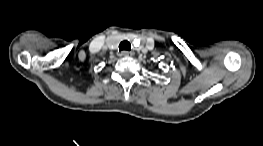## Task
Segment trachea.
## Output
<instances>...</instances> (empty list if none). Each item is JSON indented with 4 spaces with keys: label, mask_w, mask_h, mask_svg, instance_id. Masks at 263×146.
<instances>
[{
    "label": "trachea",
    "mask_w": 263,
    "mask_h": 146,
    "mask_svg": "<svg viewBox=\"0 0 263 146\" xmlns=\"http://www.w3.org/2000/svg\"><path fill=\"white\" fill-rule=\"evenodd\" d=\"M119 50L120 51H122V50L130 51L131 50V44L127 40H124L120 43Z\"/></svg>",
    "instance_id": "obj_1"
}]
</instances>
